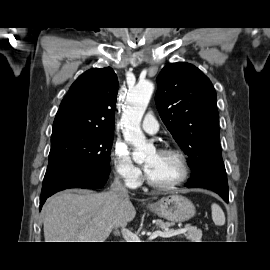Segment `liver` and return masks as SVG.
I'll return each instance as SVG.
<instances>
[{"mask_svg":"<svg viewBox=\"0 0 270 270\" xmlns=\"http://www.w3.org/2000/svg\"><path fill=\"white\" fill-rule=\"evenodd\" d=\"M136 216L129 197L110 191H63L46 202L45 242H105Z\"/></svg>","mask_w":270,"mask_h":270,"instance_id":"obj_1","label":"liver"}]
</instances>
